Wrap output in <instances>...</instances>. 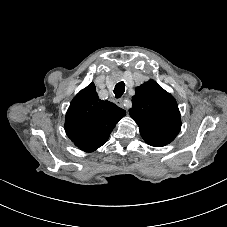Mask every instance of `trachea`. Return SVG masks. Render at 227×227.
<instances>
[{"label": "trachea", "mask_w": 227, "mask_h": 227, "mask_svg": "<svg viewBox=\"0 0 227 227\" xmlns=\"http://www.w3.org/2000/svg\"><path fill=\"white\" fill-rule=\"evenodd\" d=\"M115 94V98H120L124 92H125V84L124 82H119L115 85V88L113 90Z\"/></svg>", "instance_id": "1"}]
</instances>
